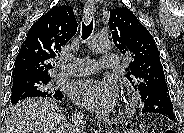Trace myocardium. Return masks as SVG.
I'll list each match as a JSON object with an SVG mask.
<instances>
[{"label": "myocardium", "mask_w": 184, "mask_h": 133, "mask_svg": "<svg viewBox=\"0 0 184 133\" xmlns=\"http://www.w3.org/2000/svg\"><path fill=\"white\" fill-rule=\"evenodd\" d=\"M132 111H133V106H132L131 102L128 99L123 98L121 103L119 104V107H118L119 116L126 117Z\"/></svg>", "instance_id": "myocardium-1"}]
</instances>
